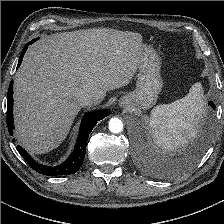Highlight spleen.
Listing matches in <instances>:
<instances>
[{
	"label": "spleen",
	"instance_id": "3e777b00",
	"mask_svg": "<svg viewBox=\"0 0 224 224\" xmlns=\"http://www.w3.org/2000/svg\"><path fill=\"white\" fill-rule=\"evenodd\" d=\"M204 113L203 88L197 82L182 99L158 105L151 111L150 127L155 144L166 150L186 145L197 135Z\"/></svg>",
	"mask_w": 224,
	"mask_h": 224
}]
</instances>
